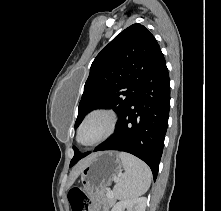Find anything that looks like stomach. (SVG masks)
I'll return each instance as SVG.
<instances>
[{"mask_svg": "<svg viewBox=\"0 0 221 211\" xmlns=\"http://www.w3.org/2000/svg\"><path fill=\"white\" fill-rule=\"evenodd\" d=\"M122 162L117 152H98L81 171V183L90 196H104L105 188L120 172Z\"/></svg>", "mask_w": 221, "mask_h": 211, "instance_id": "stomach-1", "label": "stomach"}]
</instances>
